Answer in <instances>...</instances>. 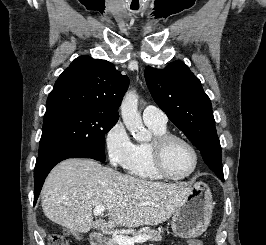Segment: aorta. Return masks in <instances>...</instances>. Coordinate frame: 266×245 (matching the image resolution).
Masks as SVG:
<instances>
[{
  "label": "aorta",
  "instance_id": "aorta-1",
  "mask_svg": "<svg viewBox=\"0 0 266 245\" xmlns=\"http://www.w3.org/2000/svg\"><path fill=\"white\" fill-rule=\"evenodd\" d=\"M123 123L136 141H148L149 131L144 129L140 112H138V94L136 90H128L121 102Z\"/></svg>",
  "mask_w": 266,
  "mask_h": 245
}]
</instances>
